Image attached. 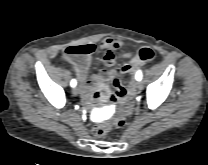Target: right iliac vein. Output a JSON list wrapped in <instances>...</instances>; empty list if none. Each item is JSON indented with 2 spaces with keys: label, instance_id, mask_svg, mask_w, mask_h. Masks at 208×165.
I'll return each instance as SVG.
<instances>
[{
  "label": "right iliac vein",
  "instance_id": "63e3f726",
  "mask_svg": "<svg viewBox=\"0 0 208 165\" xmlns=\"http://www.w3.org/2000/svg\"><path fill=\"white\" fill-rule=\"evenodd\" d=\"M72 93H73L74 95H78V94H79V89H78V87H74V88L72 89Z\"/></svg>",
  "mask_w": 208,
  "mask_h": 165
}]
</instances>
